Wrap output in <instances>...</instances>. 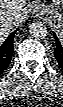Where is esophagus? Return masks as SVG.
<instances>
[{"label":"esophagus","mask_w":63,"mask_h":107,"mask_svg":"<svg viewBox=\"0 0 63 107\" xmlns=\"http://www.w3.org/2000/svg\"><path fill=\"white\" fill-rule=\"evenodd\" d=\"M34 13L37 14V15H40V14L44 13V10L41 7H39V6H36L34 8Z\"/></svg>","instance_id":"34e87169"}]
</instances>
